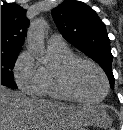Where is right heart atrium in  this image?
Returning a JSON list of instances; mask_svg holds the SVG:
<instances>
[{"instance_id": "right-heart-atrium-1", "label": "right heart atrium", "mask_w": 123, "mask_h": 130, "mask_svg": "<svg viewBox=\"0 0 123 130\" xmlns=\"http://www.w3.org/2000/svg\"><path fill=\"white\" fill-rule=\"evenodd\" d=\"M14 77L18 87L29 95H38L42 83V66L30 50H24L14 66Z\"/></svg>"}]
</instances>
